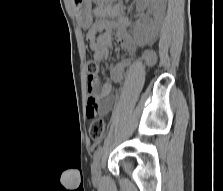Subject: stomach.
<instances>
[{
	"instance_id": "stomach-1",
	"label": "stomach",
	"mask_w": 223,
	"mask_h": 191,
	"mask_svg": "<svg viewBox=\"0 0 223 191\" xmlns=\"http://www.w3.org/2000/svg\"><path fill=\"white\" fill-rule=\"evenodd\" d=\"M91 2L92 0H72L76 16L80 24L85 28L91 24Z\"/></svg>"
}]
</instances>
